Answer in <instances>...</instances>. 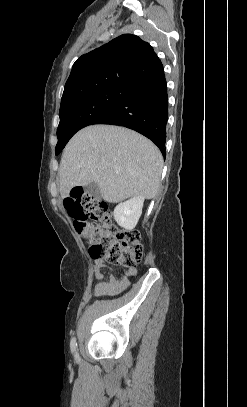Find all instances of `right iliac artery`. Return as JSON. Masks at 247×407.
Masks as SVG:
<instances>
[{"mask_svg": "<svg viewBox=\"0 0 247 407\" xmlns=\"http://www.w3.org/2000/svg\"><path fill=\"white\" fill-rule=\"evenodd\" d=\"M70 348H71L72 353H76V351H77L76 338H72V339H71Z\"/></svg>", "mask_w": 247, "mask_h": 407, "instance_id": "obj_1", "label": "right iliac artery"}]
</instances>
